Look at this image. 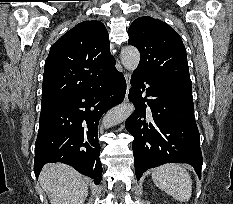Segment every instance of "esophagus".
<instances>
[{
	"label": "esophagus",
	"instance_id": "34e87169",
	"mask_svg": "<svg viewBox=\"0 0 233 204\" xmlns=\"http://www.w3.org/2000/svg\"><path fill=\"white\" fill-rule=\"evenodd\" d=\"M125 80H126V84H127V90H126V95H125V99L124 101L127 102L128 101V94H129V90H130V74L129 73H125L124 74Z\"/></svg>",
	"mask_w": 233,
	"mask_h": 204
}]
</instances>
